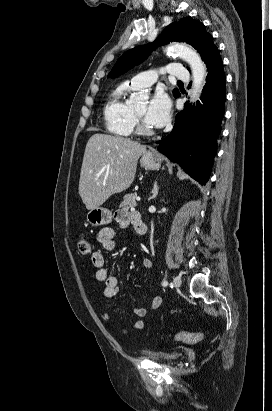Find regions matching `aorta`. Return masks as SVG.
I'll return each instance as SVG.
<instances>
[{
	"instance_id": "762f6f07",
	"label": "aorta",
	"mask_w": 272,
	"mask_h": 411,
	"mask_svg": "<svg viewBox=\"0 0 272 411\" xmlns=\"http://www.w3.org/2000/svg\"><path fill=\"white\" fill-rule=\"evenodd\" d=\"M167 51L170 54L179 56L190 65L193 75V91L190 100H196L198 94L202 90L203 82L206 77V67L201 57L188 46L179 43L171 44ZM134 98L140 99L142 98V95L136 94Z\"/></svg>"
}]
</instances>
